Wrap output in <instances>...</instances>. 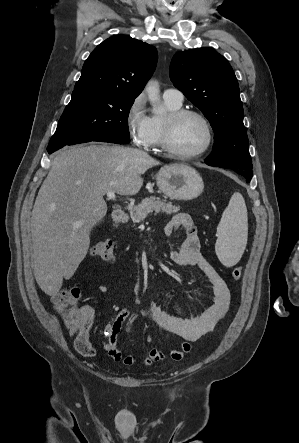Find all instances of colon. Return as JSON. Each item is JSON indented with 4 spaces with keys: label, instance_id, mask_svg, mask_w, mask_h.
<instances>
[{
    "label": "colon",
    "instance_id": "colon-1",
    "mask_svg": "<svg viewBox=\"0 0 299 443\" xmlns=\"http://www.w3.org/2000/svg\"><path fill=\"white\" fill-rule=\"evenodd\" d=\"M115 250L116 242L112 239H105L94 244L92 254L105 262H113ZM231 275L235 280H239L242 276V268H233ZM80 299L81 289L79 286L62 289L52 298L53 307L61 316L66 328L77 335L88 329V323L78 308Z\"/></svg>",
    "mask_w": 299,
    "mask_h": 443
}]
</instances>
